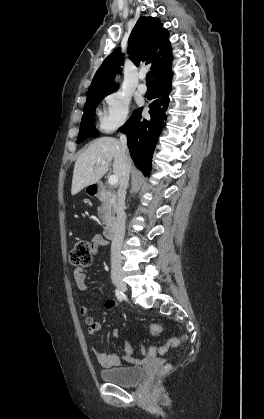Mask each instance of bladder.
Returning <instances> with one entry per match:
<instances>
[{
	"instance_id": "obj_1",
	"label": "bladder",
	"mask_w": 264,
	"mask_h": 419,
	"mask_svg": "<svg viewBox=\"0 0 264 419\" xmlns=\"http://www.w3.org/2000/svg\"><path fill=\"white\" fill-rule=\"evenodd\" d=\"M144 374L145 368L139 364L104 369L100 372L103 381L120 386L135 385L143 378Z\"/></svg>"
}]
</instances>
